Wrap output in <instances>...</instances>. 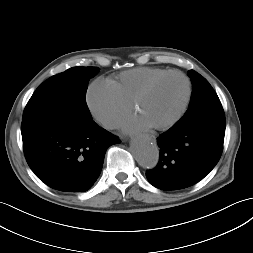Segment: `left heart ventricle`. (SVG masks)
<instances>
[{"label": "left heart ventricle", "instance_id": "left-heart-ventricle-1", "mask_svg": "<svg viewBox=\"0 0 253 253\" xmlns=\"http://www.w3.org/2000/svg\"><path fill=\"white\" fill-rule=\"evenodd\" d=\"M185 94V80L179 75L168 76L138 103L136 113L151 126L164 124L176 115Z\"/></svg>", "mask_w": 253, "mask_h": 253}]
</instances>
